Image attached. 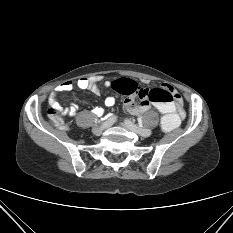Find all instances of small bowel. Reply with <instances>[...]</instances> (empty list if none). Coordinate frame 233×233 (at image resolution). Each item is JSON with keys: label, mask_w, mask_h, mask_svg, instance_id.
<instances>
[{"label": "small bowel", "mask_w": 233, "mask_h": 233, "mask_svg": "<svg viewBox=\"0 0 233 233\" xmlns=\"http://www.w3.org/2000/svg\"><path fill=\"white\" fill-rule=\"evenodd\" d=\"M100 80H101V76L83 77V78L78 79L75 85L79 89L89 90L93 94L99 95L100 90L98 86V81ZM105 86L109 87L110 82H105ZM73 87H74V83L72 81H65L57 85L49 96L48 101H49L50 106L59 110L60 106L57 102L58 94L61 92L70 91L73 89ZM162 88L167 89L172 93L174 97V107L176 111L178 112V114L181 117H183L185 115L184 110H183V100L181 96L179 95V93L169 84H163ZM104 103L107 107H113L115 105V98L112 96H109L105 99ZM124 105L126 109L132 114L143 113L146 110H148L150 107V103L148 101H140L137 103L133 97L125 99ZM78 108L79 106L77 103H72L70 107L65 110V113L69 115L70 117H73L76 115ZM91 112L98 117H107L109 119L111 116V115L106 116L105 110L102 107H93Z\"/></svg>", "instance_id": "1"}]
</instances>
